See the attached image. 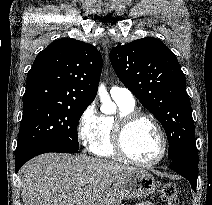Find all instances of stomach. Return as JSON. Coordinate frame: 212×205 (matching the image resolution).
Returning a JSON list of instances; mask_svg holds the SVG:
<instances>
[{"instance_id": "1", "label": "stomach", "mask_w": 212, "mask_h": 205, "mask_svg": "<svg viewBox=\"0 0 212 205\" xmlns=\"http://www.w3.org/2000/svg\"><path fill=\"white\" fill-rule=\"evenodd\" d=\"M156 188L154 176L146 170L136 168L119 177L96 205H120L123 200L147 197Z\"/></svg>"}]
</instances>
